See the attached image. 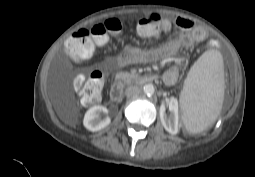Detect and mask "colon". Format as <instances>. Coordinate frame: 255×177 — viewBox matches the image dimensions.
Here are the masks:
<instances>
[{
    "mask_svg": "<svg viewBox=\"0 0 255 177\" xmlns=\"http://www.w3.org/2000/svg\"><path fill=\"white\" fill-rule=\"evenodd\" d=\"M128 26L127 21L108 19L103 23L83 28L67 39L65 52L75 60H86L92 56L97 47L107 42L109 34H118ZM167 26V20L156 11H150L136 21L137 32L143 37L155 36ZM104 83V72L94 70L88 77L77 76L74 86L83 103L94 105L100 100Z\"/></svg>",
    "mask_w": 255,
    "mask_h": 177,
    "instance_id": "5ec220e1",
    "label": "colon"
}]
</instances>
